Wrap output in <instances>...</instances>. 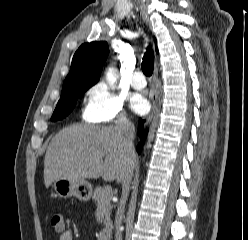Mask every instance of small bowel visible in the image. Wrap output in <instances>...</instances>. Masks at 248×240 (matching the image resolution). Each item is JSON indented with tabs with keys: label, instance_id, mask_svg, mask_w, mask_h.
Wrapping results in <instances>:
<instances>
[{
	"label": "small bowel",
	"instance_id": "small-bowel-1",
	"mask_svg": "<svg viewBox=\"0 0 248 240\" xmlns=\"http://www.w3.org/2000/svg\"><path fill=\"white\" fill-rule=\"evenodd\" d=\"M59 240H74V237L71 231H64L60 234Z\"/></svg>",
	"mask_w": 248,
	"mask_h": 240
}]
</instances>
